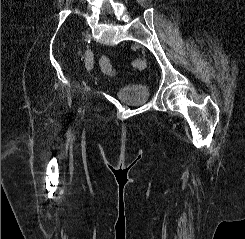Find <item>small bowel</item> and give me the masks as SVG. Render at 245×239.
<instances>
[{
	"instance_id": "small-bowel-1",
	"label": "small bowel",
	"mask_w": 245,
	"mask_h": 239,
	"mask_svg": "<svg viewBox=\"0 0 245 239\" xmlns=\"http://www.w3.org/2000/svg\"><path fill=\"white\" fill-rule=\"evenodd\" d=\"M88 66H89L90 68L93 67V60H92V59H89V61H88Z\"/></svg>"
}]
</instances>
